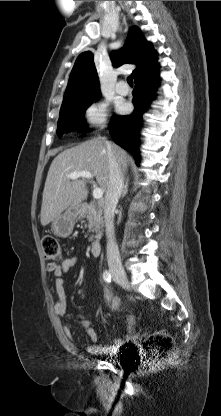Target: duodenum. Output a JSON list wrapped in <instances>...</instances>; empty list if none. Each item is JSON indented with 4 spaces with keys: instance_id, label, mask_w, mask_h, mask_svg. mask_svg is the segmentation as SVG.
Instances as JSON below:
<instances>
[{
    "instance_id": "410a0bca",
    "label": "duodenum",
    "mask_w": 221,
    "mask_h": 416,
    "mask_svg": "<svg viewBox=\"0 0 221 416\" xmlns=\"http://www.w3.org/2000/svg\"><path fill=\"white\" fill-rule=\"evenodd\" d=\"M80 208L81 207L77 206L74 209V211H79ZM101 245H102V243H101V240L100 239H98V238L94 239L91 242L90 247H89V253H90V255H92L94 257L99 256L100 255V250H101Z\"/></svg>"
}]
</instances>
